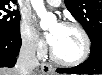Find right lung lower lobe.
<instances>
[{
	"label": "right lung lower lobe",
	"instance_id": "right-lung-lower-lobe-1",
	"mask_svg": "<svg viewBox=\"0 0 102 75\" xmlns=\"http://www.w3.org/2000/svg\"><path fill=\"white\" fill-rule=\"evenodd\" d=\"M21 47L20 32L0 33V67H13Z\"/></svg>",
	"mask_w": 102,
	"mask_h": 75
}]
</instances>
